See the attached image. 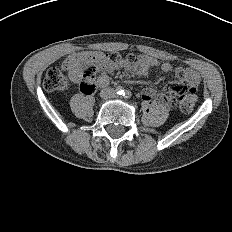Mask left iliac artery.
I'll use <instances>...</instances> for the list:
<instances>
[{
  "label": "left iliac artery",
  "instance_id": "left-iliac-artery-1",
  "mask_svg": "<svg viewBox=\"0 0 232 232\" xmlns=\"http://www.w3.org/2000/svg\"><path fill=\"white\" fill-rule=\"evenodd\" d=\"M123 95L125 98H130L132 94L129 90H126Z\"/></svg>",
  "mask_w": 232,
  "mask_h": 232
}]
</instances>
